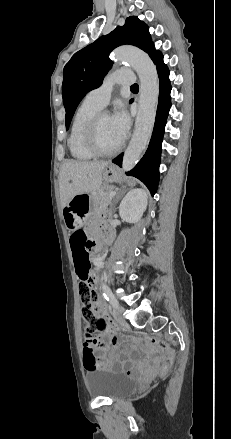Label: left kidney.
Returning <instances> with one entry per match:
<instances>
[{
    "label": "left kidney",
    "instance_id": "left-kidney-1",
    "mask_svg": "<svg viewBox=\"0 0 231 439\" xmlns=\"http://www.w3.org/2000/svg\"><path fill=\"white\" fill-rule=\"evenodd\" d=\"M147 198V192L144 189L130 190L120 203V217L129 223L138 222L146 210Z\"/></svg>",
    "mask_w": 231,
    "mask_h": 439
}]
</instances>
